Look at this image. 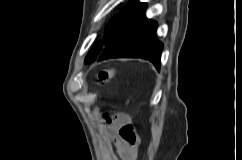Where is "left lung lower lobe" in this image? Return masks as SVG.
<instances>
[{
	"instance_id": "1",
	"label": "left lung lower lobe",
	"mask_w": 242,
	"mask_h": 160,
	"mask_svg": "<svg viewBox=\"0 0 242 160\" xmlns=\"http://www.w3.org/2000/svg\"><path fill=\"white\" fill-rule=\"evenodd\" d=\"M156 28V22L148 21L145 13H142L106 44L98 55V60L117 57L144 58L159 69L163 44L155 38Z\"/></svg>"
}]
</instances>
